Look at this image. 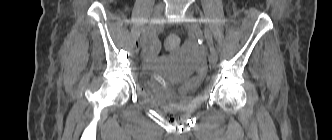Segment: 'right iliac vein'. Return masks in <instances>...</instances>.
I'll list each match as a JSON object with an SVG mask.
<instances>
[{"label": "right iliac vein", "instance_id": "1", "mask_svg": "<svg viewBox=\"0 0 332 140\" xmlns=\"http://www.w3.org/2000/svg\"><path fill=\"white\" fill-rule=\"evenodd\" d=\"M163 10H164V3L163 2L158 3L155 7L154 14L149 27L144 31V33L141 36L140 44L142 48L146 46L147 38L155 33L157 25L162 17Z\"/></svg>", "mask_w": 332, "mask_h": 140}]
</instances>
